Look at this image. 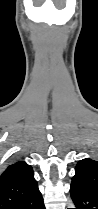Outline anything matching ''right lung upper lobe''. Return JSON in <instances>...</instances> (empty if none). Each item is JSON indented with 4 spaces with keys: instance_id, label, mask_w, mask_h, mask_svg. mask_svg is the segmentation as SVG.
Here are the masks:
<instances>
[{
    "instance_id": "cb5924a9",
    "label": "right lung upper lobe",
    "mask_w": 98,
    "mask_h": 209,
    "mask_svg": "<svg viewBox=\"0 0 98 209\" xmlns=\"http://www.w3.org/2000/svg\"><path fill=\"white\" fill-rule=\"evenodd\" d=\"M37 189L32 167L25 161L15 162L0 175V209H12Z\"/></svg>"
}]
</instances>
